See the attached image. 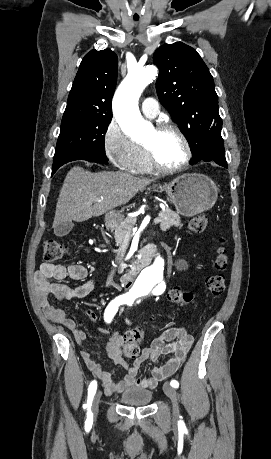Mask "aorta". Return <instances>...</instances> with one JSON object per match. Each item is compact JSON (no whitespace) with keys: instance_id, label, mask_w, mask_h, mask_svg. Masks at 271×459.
I'll list each match as a JSON object with an SVG mask.
<instances>
[{"instance_id":"1","label":"aorta","mask_w":271,"mask_h":459,"mask_svg":"<svg viewBox=\"0 0 271 459\" xmlns=\"http://www.w3.org/2000/svg\"><path fill=\"white\" fill-rule=\"evenodd\" d=\"M158 70L154 66L136 68L128 72L113 98V113L125 134L134 140L143 139L149 132V124L142 118L138 100L145 87L156 79ZM169 270L164 258L157 254L155 259L144 264L134 283V290L143 295H160L166 289Z\"/></svg>"}]
</instances>
